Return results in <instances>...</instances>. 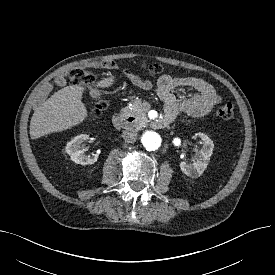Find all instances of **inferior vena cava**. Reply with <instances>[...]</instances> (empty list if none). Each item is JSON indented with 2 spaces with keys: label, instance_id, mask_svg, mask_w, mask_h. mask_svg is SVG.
Returning <instances> with one entry per match:
<instances>
[{
  "label": "inferior vena cava",
  "instance_id": "602c4592",
  "mask_svg": "<svg viewBox=\"0 0 275 275\" xmlns=\"http://www.w3.org/2000/svg\"><path fill=\"white\" fill-rule=\"evenodd\" d=\"M123 138L127 143H133L137 139V130L134 127H128L123 131Z\"/></svg>",
  "mask_w": 275,
  "mask_h": 275
}]
</instances>
